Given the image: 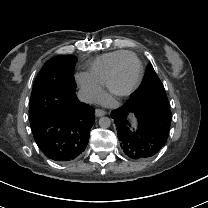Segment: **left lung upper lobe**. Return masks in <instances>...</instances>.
<instances>
[{"instance_id": "obj_1", "label": "left lung upper lobe", "mask_w": 208, "mask_h": 208, "mask_svg": "<svg viewBox=\"0 0 208 208\" xmlns=\"http://www.w3.org/2000/svg\"><path fill=\"white\" fill-rule=\"evenodd\" d=\"M130 97L156 101L169 107L164 86L152 65L148 67L144 83Z\"/></svg>"}]
</instances>
